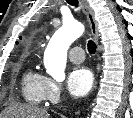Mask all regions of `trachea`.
Here are the masks:
<instances>
[{
    "instance_id": "obj_1",
    "label": "trachea",
    "mask_w": 133,
    "mask_h": 118,
    "mask_svg": "<svg viewBox=\"0 0 133 118\" xmlns=\"http://www.w3.org/2000/svg\"><path fill=\"white\" fill-rule=\"evenodd\" d=\"M67 2L70 4V5H73L75 7L78 6V1L77 0H67ZM88 51L90 54H95V51H96V44L94 41L92 40H89L88 41Z\"/></svg>"
}]
</instances>
